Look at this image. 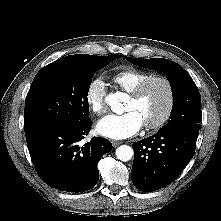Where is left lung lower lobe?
<instances>
[{
    "label": "left lung lower lobe",
    "mask_w": 221,
    "mask_h": 221,
    "mask_svg": "<svg viewBox=\"0 0 221 221\" xmlns=\"http://www.w3.org/2000/svg\"><path fill=\"white\" fill-rule=\"evenodd\" d=\"M198 135L197 129L173 128L134 143V186L152 192L175 181L192 159Z\"/></svg>",
    "instance_id": "1"
}]
</instances>
